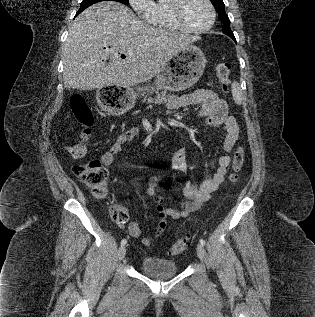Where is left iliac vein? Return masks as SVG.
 Here are the masks:
<instances>
[{
  "label": "left iliac vein",
  "mask_w": 315,
  "mask_h": 317,
  "mask_svg": "<svg viewBox=\"0 0 315 317\" xmlns=\"http://www.w3.org/2000/svg\"><path fill=\"white\" fill-rule=\"evenodd\" d=\"M196 250H197L198 257L201 260H203L204 257H205V249H204V247L201 244H198Z\"/></svg>",
  "instance_id": "1"
}]
</instances>
